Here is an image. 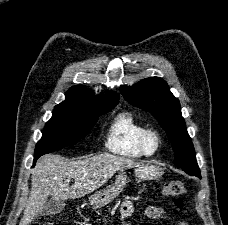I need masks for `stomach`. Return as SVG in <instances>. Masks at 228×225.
<instances>
[{
	"instance_id": "obj_1",
	"label": "stomach",
	"mask_w": 228,
	"mask_h": 225,
	"mask_svg": "<svg viewBox=\"0 0 228 225\" xmlns=\"http://www.w3.org/2000/svg\"><path fill=\"white\" fill-rule=\"evenodd\" d=\"M134 175L137 179H152V177H157V169L155 167H150V165H134ZM128 177L124 171H118L116 179L113 185H109L107 189H100L94 195L89 197L90 205L93 207H103L106 203L113 201L115 197H118L122 193Z\"/></svg>"
}]
</instances>
